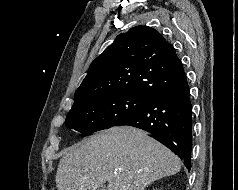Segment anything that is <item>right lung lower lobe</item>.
<instances>
[{"mask_svg":"<svg viewBox=\"0 0 238 190\" xmlns=\"http://www.w3.org/2000/svg\"><path fill=\"white\" fill-rule=\"evenodd\" d=\"M130 125L152 133L191 169L192 105L186 75L158 94L139 112L115 126Z\"/></svg>","mask_w":238,"mask_h":190,"instance_id":"obj_1","label":"right lung lower lobe"}]
</instances>
